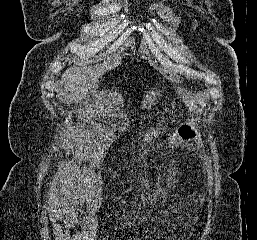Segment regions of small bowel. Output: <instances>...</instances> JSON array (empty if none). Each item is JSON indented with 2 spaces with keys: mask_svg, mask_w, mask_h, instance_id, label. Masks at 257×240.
Wrapping results in <instances>:
<instances>
[{
  "mask_svg": "<svg viewBox=\"0 0 257 240\" xmlns=\"http://www.w3.org/2000/svg\"><path fill=\"white\" fill-rule=\"evenodd\" d=\"M48 214L55 240H97L98 220L94 208L53 204L48 209ZM61 219L70 224L84 226L79 231L71 233L59 223Z\"/></svg>",
  "mask_w": 257,
  "mask_h": 240,
  "instance_id": "obj_1",
  "label": "small bowel"
}]
</instances>
